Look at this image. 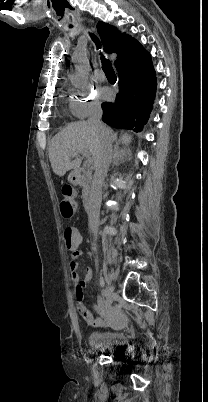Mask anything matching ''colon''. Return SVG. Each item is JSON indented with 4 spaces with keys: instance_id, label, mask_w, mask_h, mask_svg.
<instances>
[{
    "instance_id": "obj_1",
    "label": "colon",
    "mask_w": 208,
    "mask_h": 402,
    "mask_svg": "<svg viewBox=\"0 0 208 402\" xmlns=\"http://www.w3.org/2000/svg\"><path fill=\"white\" fill-rule=\"evenodd\" d=\"M73 191H74V189L70 184L62 185L61 193L63 196H71L73 194ZM61 212H62V214H73L74 207H73V205H62ZM63 238H64L67 249L71 250L73 253L71 255L72 259H75L77 254L82 255L84 253V250L82 248L78 249L79 234L75 228H73V227L66 228L63 233ZM86 292H87V290L84 291L85 294H86ZM79 309H80L81 315L83 317H87L88 306H87L86 301L82 300L80 302Z\"/></svg>"
}]
</instances>
